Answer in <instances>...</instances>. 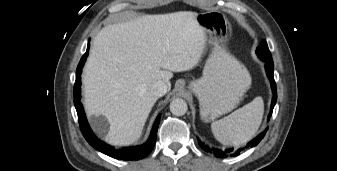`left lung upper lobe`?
Listing matches in <instances>:
<instances>
[{"instance_id":"5c2ea615","label":"left lung upper lobe","mask_w":337,"mask_h":171,"mask_svg":"<svg viewBox=\"0 0 337 171\" xmlns=\"http://www.w3.org/2000/svg\"><path fill=\"white\" fill-rule=\"evenodd\" d=\"M256 54L262 60H272L271 53L265 40H263L257 47Z\"/></svg>"}]
</instances>
